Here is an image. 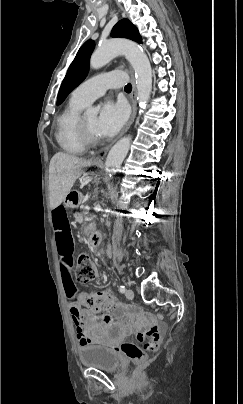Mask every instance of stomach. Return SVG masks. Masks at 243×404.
<instances>
[{"label": "stomach", "mask_w": 243, "mask_h": 404, "mask_svg": "<svg viewBox=\"0 0 243 404\" xmlns=\"http://www.w3.org/2000/svg\"><path fill=\"white\" fill-rule=\"evenodd\" d=\"M98 167H101V165L100 164H98ZM75 204V203H74ZM68 206H73V204L72 203H68Z\"/></svg>", "instance_id": "stomach-1"}]
</instances>
